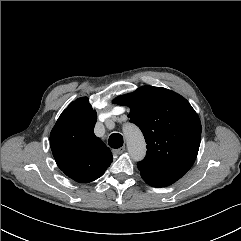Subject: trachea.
I'll return each instance as SVG.
<instances>
[{
	"instance_id": "1",
	"label": "trachea",
	"mask_w": 241,
	"mask_h": 241,
	"mask_svg": "<svg viewBox=\"0 0 241 241\" xmlns=\"http://www.w3.org/2000/svg\"><path fill=\"white\" fill-rule=\"evenodd\" d=\"M108 144L112 148H120L123 145V137L119 133H113L110 135Z\"/></svg>"
}]
</instances>
